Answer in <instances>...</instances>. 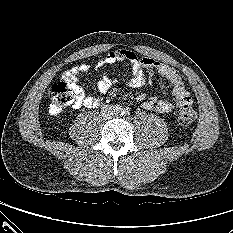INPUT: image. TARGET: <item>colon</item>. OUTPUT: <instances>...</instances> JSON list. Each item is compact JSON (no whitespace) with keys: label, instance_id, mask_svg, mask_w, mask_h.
<instances>
[{"label":"colon","instance_id":"5ec220e1","mask_svg":"<svg viewBox=\"0 0 233 233\" xmlns=\"http://www.w3.org/2000/svg\"><path fill=\"white\" fill-rule=\"evenodd\" d=\"M75 101L74 91L65 82H59L51 87L49 111L58 114L61 110ZM181 124L189 125L196 119V112L189 104L184 105L179 112Z\"/></svg>","mask_w":233,"mask_h":233}]
</instances>
